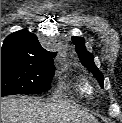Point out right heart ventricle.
I'll list each match as a JSON object with an SVG mask.
<instances>
[{
  "label": "right heart ventricle",
  "instance_id": "1",
  "mask_svg": "<svg viewBox=\"0 0 122 123\" xmlns=\"http://www.w3.org/2000/svg\"><path fill=\"white\" fill-rule=\"evenodd\" d=\"M76 91L81 96L87 97L92 94V87L87 81L82 80L78 83Z\"/></svg>",
  "mask_w": 122,
  "mask_h": 123
}]
</instances>
